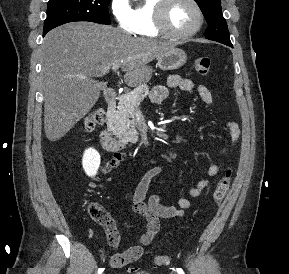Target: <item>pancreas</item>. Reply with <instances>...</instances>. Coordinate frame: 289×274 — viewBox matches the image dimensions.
Segmentation results:
<instances>
[{
    "instance_id": "cf45deb5",
    "label": "pancreas",
    "mask_w": 289,
    "mask_h": 274,
    "mask_svg": "<svg viewBox=\"0 0 289 274\" xmlns=\"http://www.w3.org/2000/svg\"><path fill=\"white\" fill-rule=\"evenodd\" d=\"M149 93V87L143 85L120 96L117 110L109 118L108 127L122 142L136 143L138 141L139 133L136 130L135 113Z\"/></svg>"
}]
</instances>
